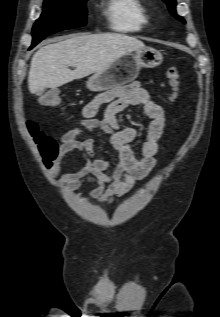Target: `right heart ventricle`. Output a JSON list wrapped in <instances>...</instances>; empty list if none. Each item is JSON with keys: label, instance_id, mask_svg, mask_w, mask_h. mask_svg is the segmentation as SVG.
Instances as JSON below:
<instances>
[{"label": "right heart ventricle", "instance_id": "1", "mask_svg": "<svg viewBox=\"0 0 220 317\" xmlns=\"http://www.w3.org/2000/svg\"><path fill=\"white\" fill-rule=\"evenodd\" d=\"M105 13L110 28L119 33L141 32L151 21V16L141 0H107Z\"/></svg>", "mask_w": 220, "mask_h": 317}]
</instances>
